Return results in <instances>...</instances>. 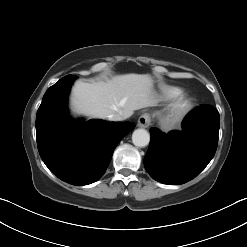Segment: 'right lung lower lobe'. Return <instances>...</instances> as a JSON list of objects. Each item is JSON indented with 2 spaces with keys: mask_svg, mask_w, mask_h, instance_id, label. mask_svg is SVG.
<instances>
[{
  "mask_svg": "<svg viewBox=\"0 0 247 247\" xmlns=\"http://www.w3.org/2000/svg\"><path fill=\"white\" fill-rule=\"evenodd\" d=\"M76 78L68 75L46 91L37 111L36 136L39 154L49 170L61 180L80 186L97 181L105 173L117 144L135 125L70 118L67 95Z\"/></svg>",
  "mask_w": 247,
  "mask_h": 247,
  "instance_id": "1",
  "label": "right lung lower lobe"
}]
</instances>
